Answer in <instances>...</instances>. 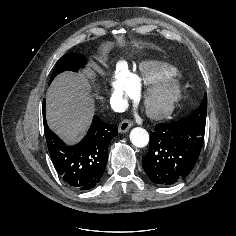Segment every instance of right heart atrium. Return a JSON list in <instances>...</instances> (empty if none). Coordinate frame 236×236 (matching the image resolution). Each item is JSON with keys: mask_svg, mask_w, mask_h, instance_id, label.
Instances as JSON below:
<instances>
[{"mask_svg": "<svg viewBox=\"0 0 236 236\" xmlns=\"http://www.w3.org/2000/svg\"><path fill=\"white\" fill-rule=\"evenodd\" d=\"M109 101L113 106L123 105L128 98L135 94L130 82L129 69L120 64L116 67L109 83Z\"/></svg>", "mask_w": 236, "mask_h": 236, "instance_id": "d8ad5b80", "label": "right heart atrium"}]
</instances>
